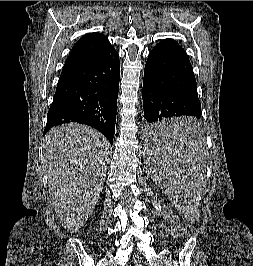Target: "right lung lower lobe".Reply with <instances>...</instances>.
I'll return each mask as SVG.
<instances>
[{"instance_id": "right-lung-lower-lobe-1", "label": "right lung lower lobe", "mask_w": 253, "mask_h": 266, "mask_svg": "<svg viewBox=\"0 0 253 266\" xmlns=\"http://www.w3.org/2000/svg\"><path fill=\"white\" fill-rule=\"evenodd\" d=\"M120 61L113 48L106 54L62 72L47 114L51 127L78 122L96 128L113 143Z\"/></svg>"}]
</instances>
